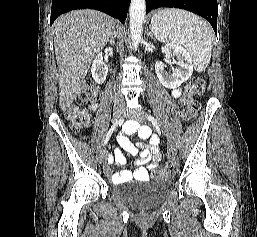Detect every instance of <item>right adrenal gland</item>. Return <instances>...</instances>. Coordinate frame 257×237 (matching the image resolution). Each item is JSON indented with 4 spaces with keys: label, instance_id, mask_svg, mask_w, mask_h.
Returning <instances> with one entry per match:
<instances>
[{
    "label": "right adrenal gland",
    "instance_id": "right-adrenal-gland-1",
    "mask_svg": "<svg viewBox=\"0 0 257 237\" xmlns=\"http://www.w3.org/2000/svg\"><path fill=\"white\" fill-rule=\"evenodd\" d=\"M116 38V31L114 32L113 36L110 38V44L114 43V39Z\"/></svg>",
    "mask_w": 257,
    "mask_h": 237
}]
</instances>
